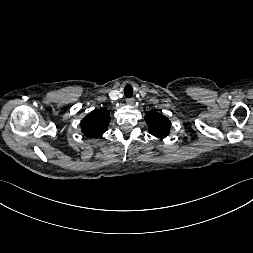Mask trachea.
<instances>
[{"label": "trachea", "instance_id": "obj_1", "mask_svg": "<svg viewBox=\"0 0 253 253\" xmlns=\"http://www.w3.org/2000/svg\"><path fill=\"white\" fill-rule=\"evenodd\" d=\"M124 95L127 98H131L133 96V88L130 84L126 85L124 88Z\"/></svg>", "mask_w": 253, "mask_h": 253}]
</instances>
